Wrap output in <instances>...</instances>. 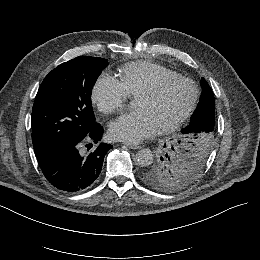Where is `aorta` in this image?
<instances>
[{
    "label": "aorta",
    "mask_w": 260,
    "mask_h": 260,
    "mask_svg": "<svg viewBox=\"0 0 260 260\" xmlns=\"http://www.w3.org/2000/svg\"><path fill=\"white\" fill-rule=\"evenodd\" d=\"M153 157L152 151L148 148H142L136 154L137 163L143 167L150 165L153 162Z\"/></svg>",
    "instance_id": "1"
}]
</instances>
